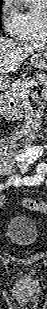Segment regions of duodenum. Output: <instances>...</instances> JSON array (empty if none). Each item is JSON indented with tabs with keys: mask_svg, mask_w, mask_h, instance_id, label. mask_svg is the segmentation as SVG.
<instances>
[{
	"mask_svg": "<svg viewBox=\"0 0 47 309\" xmlns=\"http://www.w3.org/2000/svg\"><path fill=\"white\" fill-rule=\"evenodd\" d=\"M14 107L13 103H8L3 109V115L8 119L10 117V113Z\"/></svg>",
	"mask_w": 47,
	"mask_h": 309,
	"instance_id": "1",
	"label": "duodenum"
}]
</instances>
